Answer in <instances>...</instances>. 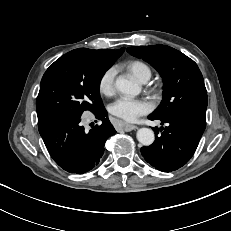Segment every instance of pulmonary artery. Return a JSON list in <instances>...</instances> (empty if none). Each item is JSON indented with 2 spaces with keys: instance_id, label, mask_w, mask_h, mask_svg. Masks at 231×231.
Returning <instances> with one entry per match:
<instances>
[{
  "instance_id": "pulmonary-artery-1",
  "label": "pulmonary artery",
  "mask_w": 231,
  "mask_h": 231,
  "mask_svg": "<svg viewBox=\"0 0 231 231\" xmlns=\"http://www.w3.org/2000/svg\"><path fill=\"white\" fill-rule=\"evenodd\" d=\"M146 81H148V78H144V79H142V83H145Z\"/></svg>"
}]
</instances>
